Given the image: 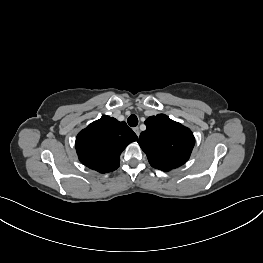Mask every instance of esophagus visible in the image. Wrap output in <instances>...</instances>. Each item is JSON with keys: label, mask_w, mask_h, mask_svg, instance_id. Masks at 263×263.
I'll return each mask as SVG.
<instances>
[{"label": "esophagus", "mask_w": 263, "mask_h": 263, "mask_svg": "<svg viewBox=\"0 0 263 263\" xmlns=\"http://www.w3.org/2000/svg\"><path fill=\"white\" fill-rule=\"evenodd\" d=\"M133 130H134L135 134L139 137L140 129L138 127H135Z\"/></svg>", "instance_id": "1"}]
</instances>
